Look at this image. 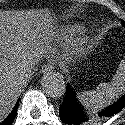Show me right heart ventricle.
<instances>
[{
	"label": "right heart ventricle",
	"mask_w": 125,
	"mask_h": 125,
	"mask_svg": "<svg viewBox=\"0 0 125 125\" xmlns=\"http://www.w3.org/2000/svg\"><path fill=\"white\" fill-rule=\"evenodd\" d=\"M78 29H72L71 31H69L68 37L67 38H71L73 36H75L78 33Z\"/></svg>",
	"instance_id": "1"
}]
</instances>
